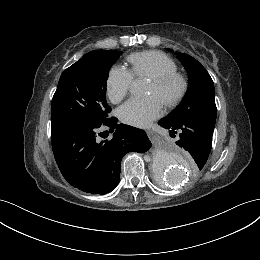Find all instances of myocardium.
Segmentation results:
<instances>
[{"label":"myocardium","mask_w":260,"mask_h":260,"mask_svg":"<svg viewBox=\"0 0 260 260\" xmlns=\"http://www.w3.org/2000/svg\"><path fill=\"white\" fill-rule=\"evenodd\" d=\"M150 82L158 90H163L173 85V90L164 97V104L171 106L177 103L185 93L187 82L185 77L178 72H170L150 78Z\"/></svg>","instance_id":"obj_1"}]
</instances>
